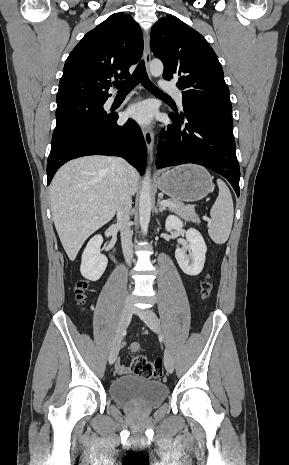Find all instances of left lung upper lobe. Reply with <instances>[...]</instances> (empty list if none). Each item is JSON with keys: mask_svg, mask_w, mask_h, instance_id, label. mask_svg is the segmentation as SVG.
Masks as SVG:
<instances>
[{"mask_svg": "<svg viewBox=\"0 0 289 465\" xmlns=\"http://www.w3.org/2000/svg\"><path fill=\"white\" fill-rule=\"evenodd\" d=\"M150 45L165 66L164 78L177 80L186 101L231 113L230 92L223 69L201 34L180 19L167 16L153 26Z\"/></svg>", "mask_w": 289, "mask_h": 465, "instance_id": "5c2ea615", "label": "left lung upper lobe"}]
</instances>
